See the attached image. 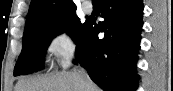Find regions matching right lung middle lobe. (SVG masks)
I'll list each match as a JSON object with an SVG mask.
<instances>
[{
	"instance_id": "right-lung-middle-lobe-1",
	"label": "right lung middle lobe",
	"mask_w": 173,
	"mask_h": 91,
	"mask_svg": "<svg viewBox=\"0 0 173 91\" xmlns=\"http://www.w3.org/2000/svg\"><path fill=\"white\" fill-rule=\"evenodd\" d=\"M89 21L81 23L76 14L62 20L40 24L25 29L22 52L14 68V76L26 75L41 69L43 55L51 40L66 32L78 44L82 39Z\"/></svg>"
}]
</instances>
